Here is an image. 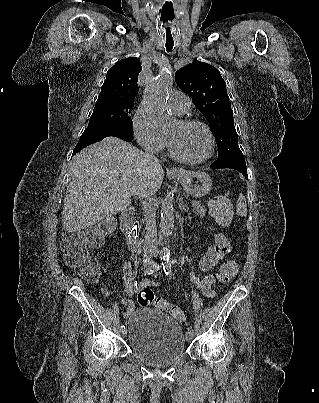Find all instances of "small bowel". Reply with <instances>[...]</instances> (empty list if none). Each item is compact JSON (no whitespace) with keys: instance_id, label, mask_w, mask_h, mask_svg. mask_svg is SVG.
I'll list each match as a JSON object with an SVG mask.
<instances>
[{"instance_id":"small-bowel-1","label":"small bowel","mask_w":319,"mask_h":403,"mask_svg":"<svg viewBox=\"0 0 319 403\" xmlns=\"http://www.w3.org/2000/svg\"><path fill=\"white\" fill-rule=\"evenodd\" d=\"M214 244L211 245L199 262V267L202 272L206 273L204 279H199L193 272L190 274V278L195 286L203 293L207 298H214L215 291L213 290L212 285L214 284L216 278L210 272L219 264V262L227 256L231 251V245L228 239L222 234L214 235ZM228 263V262H227ZM131 262H128L124 265V270L126 273V283L127 285H131ZM158 283L152 281H144L143 285L141 284L140 290L146 286H157ZM121 305L127 307V310L124 312V316L127 317L132 310V302L129 299H125L121 301Z\"/></svg>"}]
</instances>
